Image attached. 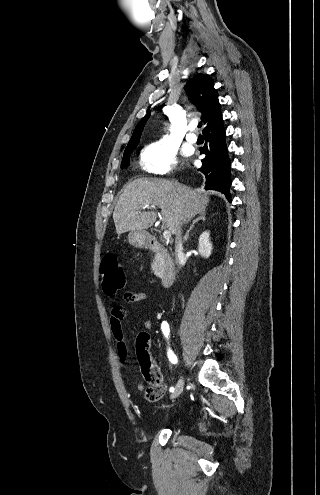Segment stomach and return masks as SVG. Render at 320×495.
I'll use <instances>...</instances> for the list:
<instances>
[{
	"label": "stomach",
	"mask_w": 320,
	"mask_h": 495,
	"mask_svg": "<svg viewBox=\"0 0 320 495\" xmlns=\"http://www.w3.org/2000/svg\"><path fill=\"white\" fill-rule=\"evenodd\" d=\"M127 239L130 245L137 248L146 247L150 243V235L145 230L130 231Z\"/></svg>",
	"instance_id": "obj_1"
}]
</instances>
